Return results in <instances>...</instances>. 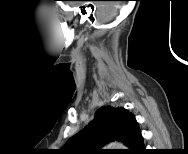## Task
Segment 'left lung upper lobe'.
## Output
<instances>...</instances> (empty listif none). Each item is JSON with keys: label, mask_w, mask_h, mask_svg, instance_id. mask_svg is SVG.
<instances>
[{"label": "left lung upper lobe", "mask_w": 188, "mask_h": 154, "mask_svg": "<svg viewBox=\"0 0 188 154\" xmlns=\"http://www.w3.org/2000/svg\"><path fill=\"white\" fill-rule=\"evenodd\" d=\"M134 117L125 108L102 106L94 119L82 131L69 139L62 150L67 154H103L101 147L111 141L125 142L128 127Z\"/></svg>", "instance_id": "obj_1"}]
</instances>
